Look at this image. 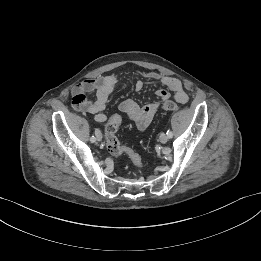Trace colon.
Returning a JSON list of instances; mask_svg holds the SVG:
<instances>
[{
	"label": "colon",
	"mask_w": 261,
	"mask_h": 261,
	"mask_svg": "<svg viewBox=\"0 0 261 261\" xmlns=\"http://www.w3.org/2000/svg\"><path fill=\"white\" fill-rule=\"evenodd\" d=\"M161 108L164 111L174 112L178 110V105L173 101H165ZM122 118L119 115H113L105 125L106 146L108 151L114 155H125L136 167L142 166L141 157L131 148L122 145L117 137V131L121 125Z\"/></svg>",
	"instance_id": "1"
}]
</instances>
